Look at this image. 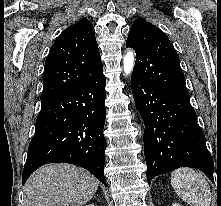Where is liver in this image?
<instances>
[{
	"mask_svg": "<svg viewBox=\"0 0 221 206\" xmlns=\"http://www.w3.org/2000/svg\"><path fill=\"white\" fill-rule=\"evenodd\" d=\"M98 189L97 179L71 164H49L27 181L26 206H82Z\"/></svg>",
	"mask_w": 221,
	"mask_h": 206,
	"instance_id": "obj_1",
	"label": "liver"
}]
</instances>
